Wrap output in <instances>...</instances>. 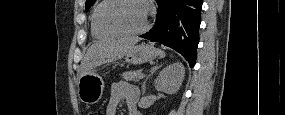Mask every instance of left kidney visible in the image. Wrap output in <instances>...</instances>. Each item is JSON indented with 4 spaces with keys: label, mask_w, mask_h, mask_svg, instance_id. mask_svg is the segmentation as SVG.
Masks as SVG:
<instances>
[{
    "label": "left kidney",
    "mask_w": 285,
    "mask_h": 115,
    "mask_svg": "<svg viewBox=\"0 0 285 115\" xmlns=\"http://www.w3.org/2000/svg\"><path fill=\"white\" fill-rule=\"evenodd\" d=\"M185 68L181 62H175L166 66L155 80V87L158 91L168 94H175L184 79Z\"/></svg>",
    "instance_id": "5707ae66"
}]
</instances>
